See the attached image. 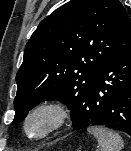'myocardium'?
I'll use <instances>...</instances> for the list:
<instances>
[{
  "instance_id": "myocardium-1",
  "label": "myocardium",
  "mask_w": 131,
  "mask_h": 151,
  "mask_svg": "<svg viewBox=\"0 0 131 151\" xmlns=\"http://www.w3.org/2000/svg\"><path fill=\"white\" fill-rule=\"evenodd\" d=\"M46 114L50 117V123L47 128L36 135L29 132V122L37 115ZM69 119V110L67 106L60 100L47 99L33 105L26 113L23 119V132L34 141H40L49 138L62 129Z\"/></svg>"
}]
</instances>
